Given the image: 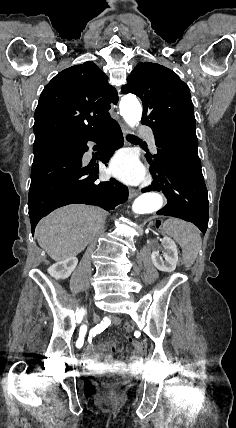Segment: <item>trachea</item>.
<instances>
[{
	"label": "trachea",
	"mask_w": 236,
	"mask_h": 428,
	"mask_svg": "<svg viewBox=\"0 0 236 428\" xmlns=\"http://www.w3.org/2000/svg\"><path fill=\"white\" fill-rule=\"evenodd\" d=\"M127 139H128V140H131V139H137V137H134V135H128V136H127Z\"/></svg>",
	"instance_id": "1"
}]
</instances>
